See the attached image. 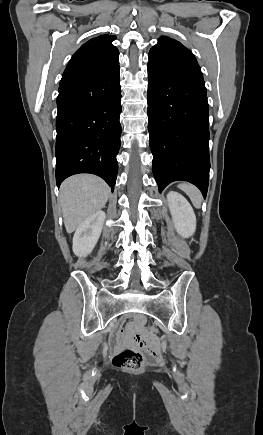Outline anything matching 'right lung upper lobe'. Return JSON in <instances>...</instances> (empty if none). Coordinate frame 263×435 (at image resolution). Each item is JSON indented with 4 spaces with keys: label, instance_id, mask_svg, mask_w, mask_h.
Returning <instances> with one entry per match:
<instances>
[{
    "label": "right lung upper lobe",
    "instance_id": "right-lung-upper-lobe-1",
    "mask_svg": "<svg viewBox=\"0 0 263 435\" xmlns=\"http://www.w3.org/2000/svg\"><path fill=\"white\" fill-rule=\"evenodd\" d=\"M115 36L100 35L83 44L69 61L60 86L105 74L119 66Z\"/></svg>",
    "mask_w": 263,
    "mask_h": 435
}]
</instances>
